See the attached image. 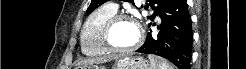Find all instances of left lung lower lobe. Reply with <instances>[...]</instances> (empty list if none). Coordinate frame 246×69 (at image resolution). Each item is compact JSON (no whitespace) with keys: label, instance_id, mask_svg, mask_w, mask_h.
<instances>
[{"label":"left lung lower lobe","instance_id":"1","mask_svg":"<svg viewBox=\"0 0 246 69\" xmlns=\"http://www.w3.org/2000/svg\"><path fill=\"white\" fill-rule=\"evenodd\" d=\"M158 15L162 20L158 34L149 32L136 52L158 55L179 69H190L193 33L186 0H171Z\"/></svg>","mask_w":246,"mask_h":69}]
</instances>
